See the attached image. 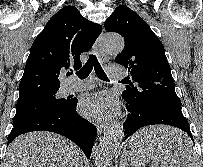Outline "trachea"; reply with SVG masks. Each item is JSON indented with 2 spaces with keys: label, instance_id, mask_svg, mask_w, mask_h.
I'll use <instances>...</instances> for the list:
<instances>
[{
  "label": "trachea",
  "instance_id": "trachea-1",
  "mask_svg": "<svg viewBox=\"0 0 203 167\" xmlns=\"http://www.w3.org/2000/svg\"><path fill=\"white\" fill-rule=\"evenodd\" d=\"M95 70V73L97 77L104 81H109L107 75L105 74L103 68L101 67L100 63L98 62L95 55H90L88 61L86 64L76 72V75L80 79H85L89 76L92 70ZM72 73H69L68 75H71Z\"/></svg>",
  "mask_w": 203,
  "mask_h": 167
}]
</instances>
